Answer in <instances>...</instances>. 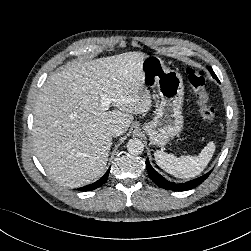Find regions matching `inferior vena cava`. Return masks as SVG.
I'll return each instance as SVG.
<instances>
[{
    "mask_svg": "<svg viewBox=\"0 0 251 251\" xmlns=\"http://www.w3.org/2000/svg\"><path fill=\"white\" fill-rule=\"evenodd\" d=\"M123 133V130L120 126H113L110 129V134L113 137H117L120 136Z\"/></svg>",
    "mask_w": 251,
    "mask_h": 251,
    "instance_id": "602c4592",
    "label": "inferior vena cava"
}]
</instances>
